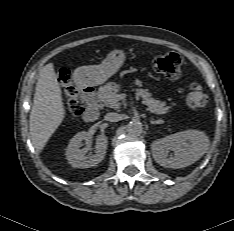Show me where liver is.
<instances>
[{"mask_svg": "<svg viewBox=\"0 0 234 231\" xmlns=\"http://www.w3.org/2000/svg\"><path fill=\"white\" fill-rule=\"evenodd\" d=\"M66 116L62 90L53 63L42 67L36 83L29 128L36 151L41 152Z\"/></svg>", "mask_w": 234, "mask_h": 231, "instance_id": "liver-1", "label": "liver"}]
</instances>
